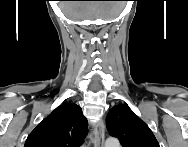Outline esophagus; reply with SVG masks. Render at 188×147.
I'll use <instances>...</instances> for the list:
<instances>
[{"label":"esophagus","mask_w":188,"mask_h":147,"mask_svg":"<svg viewBox=\"0 0 188 147\" xmlns=\"http://www.w3.org/2000/svg\"><path fill=\"white\" fill-rule=\"evenodd\" d=\"M95 147H104L105 125L102 120H98L93 126Z\"/></svg>","instance_id":"obj_1"}]
</instances>
